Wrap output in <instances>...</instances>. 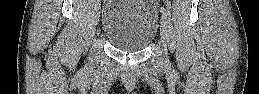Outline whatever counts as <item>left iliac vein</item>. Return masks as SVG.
Returning <instances> with one entry per match:
<instances>
[{
	"instance_id": "left-iliac-vein-1",
	"label": "left iliac vein",
	"mask_w": 259,
	"mask_h": 94,
	"mask_svg": "<svg viewBox=\"0 0 259 94\" xmlns=\"http://www.w3.org/2000/svg\"><path fill=\"white\" fill-rule=\"evenodd\" d=\"M160 35L161 42L165 51V60H168L167 56V35H168V19L166 16L162 15L160 19Z\"/></svg>"
}]
</instances>
